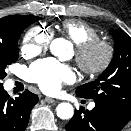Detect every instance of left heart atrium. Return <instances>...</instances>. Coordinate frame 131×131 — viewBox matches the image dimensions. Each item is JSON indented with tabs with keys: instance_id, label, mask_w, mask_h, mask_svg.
<instances>
[{
	"instance_id": "obj_1",
	"label": "left heart atrium",
	"mask_w": 131,
	"mask_h": 131,
	"mask_svg": "<svg viewBox=\"0 0 131 131\" xmlns=\"http://www.w3.org/2000/svg\"><path fill=\"white\" fill-rule=\"evenodd\" d=\"M28 76L46 93H55L62 83H69L75 79L74 72L69 66L53 59L35 62L30 67Z\"/></svg>"
}]
</instances>
